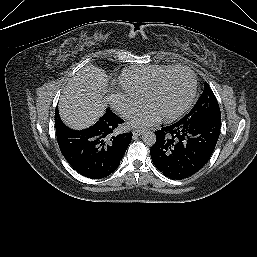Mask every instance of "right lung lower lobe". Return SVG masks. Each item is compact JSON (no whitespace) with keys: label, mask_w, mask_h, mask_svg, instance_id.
I'll list each match as a JSON object with an SVG mask.
<instances>
[{"label":"right lung lower lobe","mask_w":257,"mask_h":257,"mask_svg":"<svg viewBox=\"0 0 257 257\" xmlns=\"http://www.w3.org/2000/svg\"><path fill=\"white\" fill-rule=\"evenodd\" d=\"M122 123L107 109L98 122L84 130L55 124L59 148L78 173L91 179L104 178L117 169L132 139V133L117 134Z\"/></svg>","instance_id":"98d812e1"}]
</instances>
